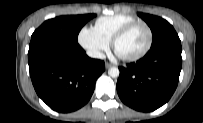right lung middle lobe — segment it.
<instances>
[{"instance_id":"obj_1","label":"right lung middle lobe","mask_w":203,"mask_h":123,"mask_svg":"<svg viewBox=\"0 0 203 123\" xmlns=\"http://www.w3.org/2000/svg\"><path fill=\"white\" fill-rule=\"evenodd\" d=\"M94 16L95 14L59 16L47 20L34 31L31 39L51 37L58 40L77 43L78 34L81 28Z\"/></svg>"}]
</instances>
